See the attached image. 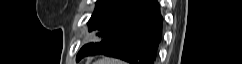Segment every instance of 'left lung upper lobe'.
<instances>
[{"label":"left lung upper lobe","instance_id":"obj_1","mask_svg":"<svg viewBox=\"0 0 242 64\" xmlns=\"http://www.w3.org/2000/svg\"><path fill=\"white\" fill-rule=\"evenodd\" d=\"M119 1L120 0H97L94 13L92 14L88 22L89 31L94 30L100 17L103 16L110 8H112Z\"/></svg>","mask_w":242,"mask_h":64}]
</instances>
